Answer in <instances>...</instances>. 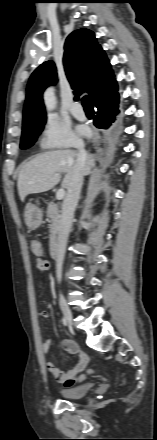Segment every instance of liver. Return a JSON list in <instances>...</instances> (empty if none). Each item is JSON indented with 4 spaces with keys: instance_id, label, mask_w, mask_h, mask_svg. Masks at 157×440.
<instances>
[{
    "instance_id": "1",
    "label": "liver",
    "mask_w": 157,
    "mask_h": 440,
    "mask_svg": "<svg viewBox=\"0 0 157 440\" xmlns=\"http://www.w3.org/2000/svg\"><path fill=\"white\" fill-rule=\"evenodd\" d=\"M78 152L70 149L47 151L21 165L18 174L17 187L21 201L29 194L49 191L65 174L62 187L68 189L77 165ZM95 159L86 153L83 175H89Z\"/></svg>"
}]
</instances>
